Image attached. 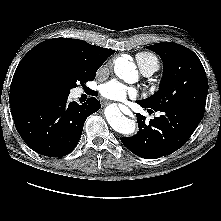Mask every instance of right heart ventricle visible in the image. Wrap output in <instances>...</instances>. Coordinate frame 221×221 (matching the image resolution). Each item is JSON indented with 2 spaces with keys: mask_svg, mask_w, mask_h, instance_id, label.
I'll list each match as a JSON object with an SVG mask.
<instances>
[{
  "mask_svg": "<svg viewBox=\"0 0 221 221\" xmlns=\"http://www.w3.org/2000/svg\"><path fill=\"white\" fill-rule=\"evenodd\" d=\"M136 61L141 69L154 67L156 70L159 67L158 59L149 52H140L136 55Z\"/></svg>",
  "mask_w": 221,
  "mask_h": 221,
  "instance_id": "e07e8e85",
  "label": "right heart ventricle"
}]
</instances>
